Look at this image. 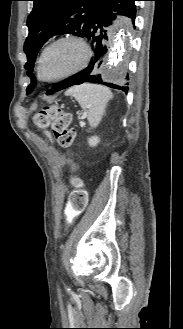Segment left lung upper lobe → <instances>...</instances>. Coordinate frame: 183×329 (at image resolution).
<instances>
[{"label":"left lung upper lobe","instance_id":"5c2ea615","mask_svg":"<svg viewBox=\"0 0 183 329\" xmlns=\"http://www.w3.org/2000/svg\"><path fill=\"white\" fill-rule=\"evenodd\" d=\"M33 10L27 19L28 37L24 43V52L28 61L25 69L31 83L27 88L31 92L36 86L32 74L37 54L43 44L54 35L73 34L85 37L98 10L109 0H32Z\"/></svg>","mask_w":183,"mask_h":329}]
</instances>
